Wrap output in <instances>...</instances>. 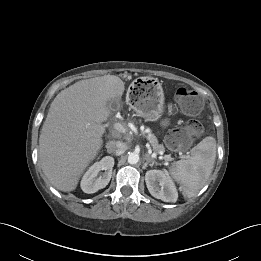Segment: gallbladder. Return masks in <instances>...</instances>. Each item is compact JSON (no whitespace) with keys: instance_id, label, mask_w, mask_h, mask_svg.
Wrapping results in <instances>:
<instances>
[{"instance_id":"1","label":"gallbladder","mask_w":261,"mask_h":261,"mask_svg":"<svg viewBox=\"0 0 261 261\" xmlns=\"http://www.w3.org/2000/svg\"><path fill=\"white\" fill-rule=\"evenodd\" d=\"M118 104H119L118 100L111 99V100H108L107 107L110 109H115V108H117Z\"/></svg>"}]
</instances>
